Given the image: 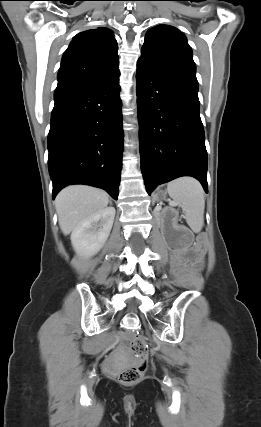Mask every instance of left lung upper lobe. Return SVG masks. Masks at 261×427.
<instances>
[{
	"label": "left lung upper lobe",
	"mask_w": 261,
	"mask_h": 427,
	"mask_svg": "<svg viewBox=\"0 0 261 427\" xmlns=\"http://www.w3.org/2000/svg\"><path fill=\"white\" fill-rule=\"evenodd\" d=\"M141 57L195 74L196 66L186 37L177 28L158 25L145 36Z\"/></svg>",
	"instance_id": "1"
}]
</instances>
